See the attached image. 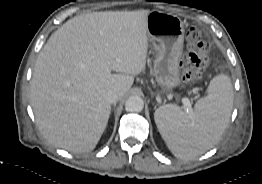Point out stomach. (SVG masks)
Listing matches in <instances>:
<instances>
[{"instance_id":"stomach-1","label":"stomach","mask_w":262,"mask_h":184,"mask_svg":"<svg viewBox=\"0 0 262 184\" xmlns=\"http://www.w3.org/2000/svg\"><path fill=\"white\" fill-rule=\"evenodd\" d=\"M147 36L157 55L154 76L162 92L181 84L179 63L183 53L184 23L176 15L151 11L146 18Z\"/></svg>"}]
</instances>
